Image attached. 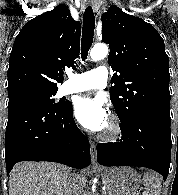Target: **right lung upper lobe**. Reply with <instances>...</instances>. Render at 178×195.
<instances>
[{"label":"right lung upper lobe","mask_w":178,"mask_h":195,"mask_svg":"<svg viewBox=\"0 0 178 195\" xmlns=\"http://www.w3.org/2000/svg\"><path fill=\"white\" fill-rule=\"evenodd\" d=\"M81 24L64 4L30 20L10 53L8 96L27 90H58L63 70L80 52Z\"/></svg>","instance_id":"obj_1"}]
</instances>
